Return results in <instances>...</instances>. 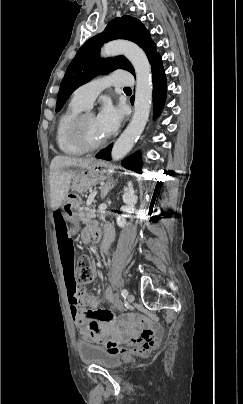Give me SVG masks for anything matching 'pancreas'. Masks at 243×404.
<instances>
[{
	"label": "pancreas",
	"instance_id": "1",
	"mask_svg": "<svg viewBox=\"0 0 243 404\" xmlns=\"http://www.w3.org/2000/svg\"><path fill=\"white\" fill-rule=\"evenodd\" d=\"M95 204H96V200H94V204H92V208H88V210H87V208H84V210L80 216V219L84 218L82 220L83 224H87L89 222V220H92V218H95V216H96Z\"/></svg>",
	"mask_w": 243,
	"mask_h": 404
}]
</instances>
